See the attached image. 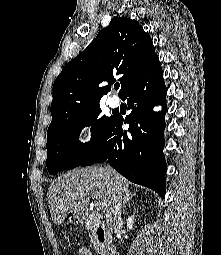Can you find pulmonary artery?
I'll list each match as a JSON object with an SVG mask.
<instances>
[{
	"instance_id": "e3ab8cb5",
	"label": "pulmonary artery",
	"mask_w": 221,
	"mask_h": 255,
	"mask_svg": "<svg viewBox=\"0 0 221 255\" xmlns=\"http://www.w3.org/2000/svg\"><path fill=\"white\" fill-rule=\"evenodd\" d=\"M108 103L110 104V106L115 107L118 105V98L116 96H110L108 98Z\"/></svg>"
}]
</instances>
